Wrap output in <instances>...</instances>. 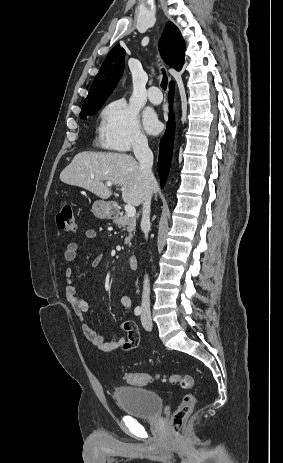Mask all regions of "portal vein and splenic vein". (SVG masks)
<instances>
[{"label":"portal vein and splenic vein","mask_w":283,"mask_h":463,"mask_svg":"<svg viewBox=\"0 0 283 463\" xmlns=\"http://www.w3.org/2000/svg\"><path fill=\"white\" fill-rule=\"evenodd\" d=\"M105 185H106L107 187H112V182L107 181V182L105 183ZM124 208H125V211H126V214H127L128 217H134V216H135V214H136V209H135V207H134L133 205H131V204H126V205L124 206Z\"/></svg>","instance_id":"18ae733b"}]
</instances>
